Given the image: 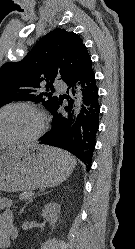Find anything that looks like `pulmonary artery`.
I'll use <instances>...</instances> for the list:
<instances>
[{
	"label": "pulmonary artery",
	"mask_w": 135,
	"mask_h": 249,
	"mask_svg": "<svg viewBox=\"0 0 135 249\" xmlns=\"http://www.w3.org/2000/svg\"><path fill=\"white\" fill-rule=\"evenodd\" d=\"M55 87H56L57 89H63V88H65V84H64L63 82L56 81V82H55Z\"/></svg>",
	"instance_id": "pulmonary-artery-1"
}]
</instances>
